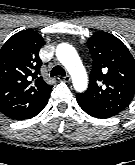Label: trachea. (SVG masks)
<instances>
[{
  "instance_id": "obj_1",
  "label": "trachea",
  "mask_w": 135,
  "mask_h": 165,
  "mask_svg": "<svg viewBox=\"0 0 135 165\" xmlns=\"http://www.w3.org/2000/svg\"><path fill=\"white\" fill-rule=\"evenodd\" d=\"M66 72L65 70L60 66V65H56L52 70H51V77H54V76H58V75H61V76H65Z\"/></svg>"
}]
</instances>
